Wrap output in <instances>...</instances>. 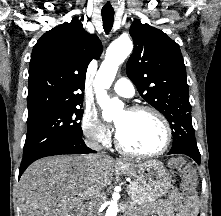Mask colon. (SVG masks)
Wrapping results in <instances>:
<instances>
[{
  "instance_id": "colon-1",
  "label": "colon",
  "mask_w": 221,
  "mask_h": 216,
  "mask_svg": "<svg viewBox=\"0 0 221 216\" xmlns=\"http://www.w3.org/2000/svg\"><path fill=\"white\" fill-rule=\"evenodd\" d=\"M185 163L183 158H175L170 161V166L174 171L181 172L186 177L180 191L184 195L185 203L192 204L195 201V185L192 180V172L184 168Z\"/></svg>"
}]
</instances>
